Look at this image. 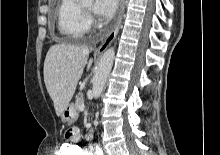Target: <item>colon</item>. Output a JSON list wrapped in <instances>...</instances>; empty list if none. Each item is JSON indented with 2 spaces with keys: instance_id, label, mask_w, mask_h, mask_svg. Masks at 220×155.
Returning <instances> with one entry per match:
<instances>
[{
  "instance_id": "5ec220e1",
  "label": "colon",
  "mask_w": 220,
  "mask_h": 155,
  "mask_svg": "<svg viewBox=\"0 0 220 155\" xmlns=\"http://www.w3.org/2000/svg\"><path fill=\"white\" fill-rule=\"evenodd\" d=\"M59 155H83L79 146H60Z\"/></svg>"
}]
</instances>
